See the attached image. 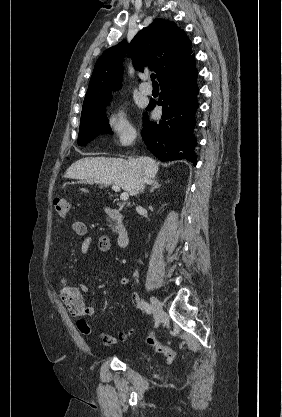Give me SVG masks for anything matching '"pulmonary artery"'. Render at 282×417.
Instances as JSON below:
<instances>
[{
    "mask_svg": "<svg viewBox=\"0 0 282 417\" xmlns=\"http://www.w3.org/2000/svg\"><path fill=\"white\" fill-rule=\"evenodd\" d=\"M148 80V77L146 76V77H144V79H143V81H144V83H142L141 85H140V87H139V90L141 91V93L142 94H144V95H149V94H151V92H152V87L151 86H146L145 85V81H147Z\"/></svg>",
    "mask_w": 282,
    "mask_h": 417,
    "instance_id": "pulmonary-artery-1",
    "label": "pulmonary artery"
}]
</instances>
